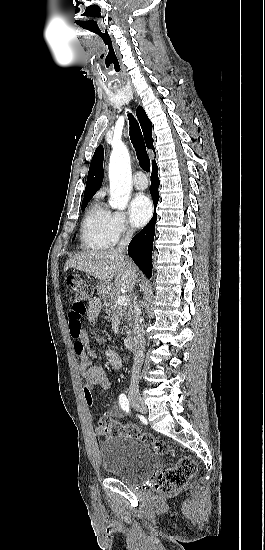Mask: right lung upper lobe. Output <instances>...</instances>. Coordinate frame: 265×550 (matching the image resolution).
Returning a JSON list of instances; mask_svg holds the SVG:
<instances>
[{"instance_id":"1","label":"right lung upper lobe","mask_w":265,"mask_h":550,"mask_svg":"<svg viewBox=\"0 0 265 550\" xmlns=\"http://www.w3.org/2000/svg\"><path fill=\"white\" fill-rule=\"evenodd\" d=\"M136 115L140 122L147 148L155 151L153 147L151 121L148 119L144 109L141 106L137 107ZM103 158H104L103 147L99 146L95 150V153L91 160L88 177H87L86 188L84 191V199L92 198L102 184L103 174H104Z\"/></svg>"}]
</instances>
